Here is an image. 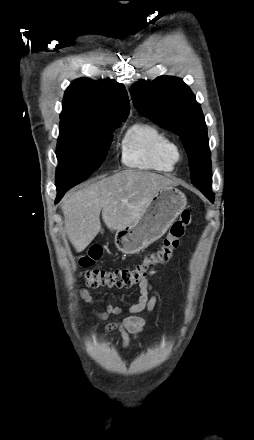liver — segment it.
I'll return each instance as SVG.
<instances>
[{
    "instance_id": "liver-1",
    "label": "liver",
    "mask_w": 254,
    "mask_h": 440,
    "mask_svg": "<svg viewBox=\"0 0 254 440\" xmlns=\"http://www.w3.org/2000/svg\"><path fill=\"white\" fill-rule=\"evenodd\" d=\"M172 185L163 175L128 169L67 194L62 203L65 229L76 251H83L101 231V211L107 228L121 230L141 217L160 189Z\"/></svg>"
}]
</instances>
